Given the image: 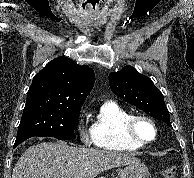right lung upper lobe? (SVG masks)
Segmentation results:
<instances>
[{
  "label": "right lung upper lobe",
  "mask_w": 194,
  "mask_h": 178,
  "mask_svg": "<svg viewBox=\"0 0 194 178\" xmlns=\"http://www.w3.org/2000/svg\"><path fill=\"white\" fill-rule=\"evenodd\" d=\"M94 82L95 74L89 66H80L67 57H57L34 76L27 101L45 99L81 109Z\"/></svg>",
  "instance_id": "1"
}]
</instances>
